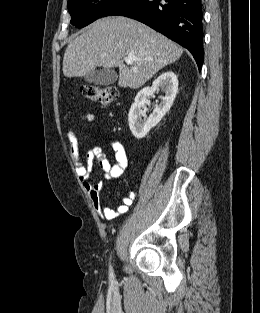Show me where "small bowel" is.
<instances>
[{"label": "small bowel", "instance_id": "1", "mask_svg": "<svg viewBox=\"0 0 260 313\" xmlns=\"http://www.w3.org/2000/svg\"><path fill=\"white\" fill-rule=\"evenodd\" d=\"M88 121L86 117L80 118L77 122L81 124ZM67 141L69 144L70 156L72 163L75 167L76 175L79 177L83 189L88 194L94 210L102 219L114 220L120 215L128 211L129 207L135 199L136 192L133 190L127 196H125L121 203L116 208H111L105 205L100 197V191L102 188L101 182H92L89 180V168L90 160L83 162L78 154V139H77V129L72 127L67 132ZM110 145L114 152L115 163L112 164L108 159L100 154L97 160L102 169V178L104 180H111L121 177L128 167V155L124 145L116 140H110ZM93 156V155H92Z\"/></svg>", "mask_w": 260, "mask_h": 313}]
</instances>
